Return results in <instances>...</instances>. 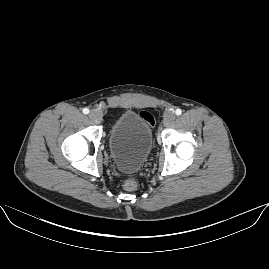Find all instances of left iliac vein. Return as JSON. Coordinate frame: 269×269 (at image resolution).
Returning <instances> with one entry per match:
<instances>
[{
    "label": "left iliac vein",
    "instance_id": "obj_1",
    "mask_svg": "<svg viewBox=\"0 0 269 269\" xmlns=\"http://www.w3.org/2000/svg\"><path fill=\"white\" fill-rule=\"evenodd\" d=\"M175 120V114L173 112H166L164 114L163 124L164 126H170Z\"/></svg>",
    "mask_w": 269,
    "mask_h": 269
}]
</instances>
